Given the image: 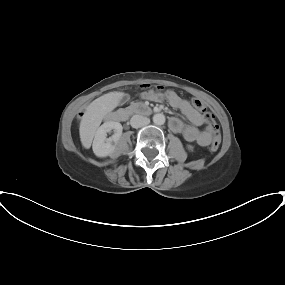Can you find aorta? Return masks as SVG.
<instances>
[{"mask_svg":"<svg viewBox=\"0 0 285 285\" xmlns=\"http://www.w3.org/2000/svg\"><path fill=\"white\" fill-rule=\"evenodd\" d=\"M165 116L162 113H157L153 116V122L156 125H163L165 123Z\"/></svg>","mask_w":285,"mask_h":285,"instance_id":"obj_1","label":"aorta"}]
</instances>
